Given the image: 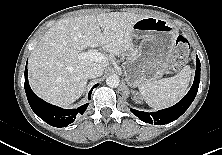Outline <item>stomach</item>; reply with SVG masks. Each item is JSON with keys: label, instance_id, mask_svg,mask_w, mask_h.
I'll return each mask as SVG.
<instances>
[{"label": "stomach", "instance_id": "1", "mask_svg": "<svg viewBox=\"0 0 222 155\" xmlns=\"http://www.w3.org/2000/svg\"><path fill=\"white\" fill-rule=\"evenodd\" d=\"M178 37V29L169 21L144 17L133 25V38L140 46L132 50L123 69L131 87L155 81L166 72Z\"/></svg>", "mask_w": 222, "mask_h": 155}]
</instances>
